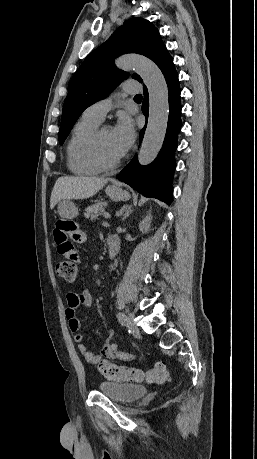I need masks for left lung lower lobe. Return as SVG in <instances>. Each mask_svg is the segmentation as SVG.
<instances>
[{
  "instance_id": "obj_1",
  "label": "left lung lower lobe",
  "mask_w": 257,
  "mask_h": 459,
  "mask_svg": "<svg viewBox=\"0 0 257 459\" xmlns=\"http://www.w3.org/2000/svg\"><path fill=\"white\" fill-rule=\"evenodd\" d=\"M165 76L169 91V118L165 140L157 158L147 166H141L137 157L117 175V178L130 185L146 197L157 198L167 204L172 200V178L176 166L174 152L177 148V136L181 129V104L178 74L173 59L168 54L158 66ZM142 111L146 118L149 112L148 91L144 86ZM145 128L140 132V141Z\"/></svg>"
}]
</instances>
